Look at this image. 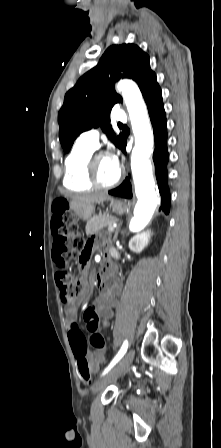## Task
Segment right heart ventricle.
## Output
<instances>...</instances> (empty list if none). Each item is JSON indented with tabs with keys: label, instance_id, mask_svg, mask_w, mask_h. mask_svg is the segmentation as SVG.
Returning <instances> with one entry per match:
<instances>
[{
	"label": "right heart ventricle",
	"instance_id": "obj_1",
	"mask_svg": "<svg viewBox=\"0 0 221 448\" xmlns=\"http://www.w3.org/2000/svg\"><path fill=\"white\" fill-rule=\"evenodd\" d=\"M95 149L77 142L65 159L63 184L73 191L91 190L94 186L87 177V161Z\"/></svg>",
	"mask_w": 221,
	"mask_h": 448
}]
</instances>
